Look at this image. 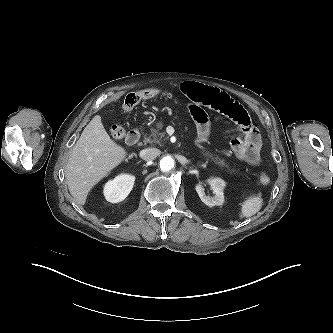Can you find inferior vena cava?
I'll return each mask as SVG.
<instances>
[{
	"mask_svg": "<svg viewBox=\"0 0 333 333\" xmlns=\"http://www.w3.org/2000/svg\"><path fill=\"white\" fill-rule=\"evenodd\" d=\"M160 150L157 148H147L140 152V156L144 160H154L157 156L160 155Z\"/></svg>",
	"mask_w": 333,
	"mask_h": 333,
	"instance_id": "obj_1",
	"label": "inferior vena cava"
}]
</instances>
